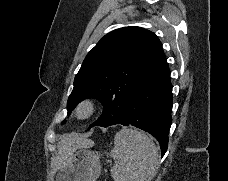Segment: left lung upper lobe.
I'll return each mask as SVG.
<instances>
[{
    "mask_svg": "<svg viewBox=\"0 0 228 181\" xmlns=\"http://www.w3.org/2000/svg\"><path fill=\"white\" fill-rule=\"evenodd\" d=\"M164 52L158 37L141 27H124L105 35L87 54L67 102L68 114L83 99H98L104 106L89 126L108 127L123 117L143 74Z\"/></svg>",
    "mask_w": 228,
    "mask_h": 181,
    "instance_id": "5c2ea615",
    "label": "left lung upper lobe"
}]
</instances>
